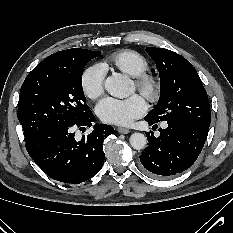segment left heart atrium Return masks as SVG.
Segmentation results:
<instances>
[{
    "label": "left heart atrium",
    "instance_id": "left-heart-atrium-1",
    "mask_svg": "<svg viewBox=\"0 0 233 233\" xmlns=\"http://www.w3.org/2000/svg\"><path fill=\"white\" fill-rule=\"evenodd\" d=\"M146 102L139 94L128 98L105 97L97 107L98 117L107 123L129 125L146 111Z\"/></svg>",
    "mask_w": 233,
    "mask_h": 233
}]
</instances>
